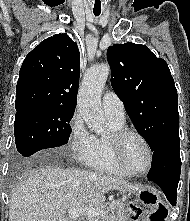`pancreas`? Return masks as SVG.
<instances>
[{
  "label": "pancreas",
  "instance_id": "cf45deb5",
  "mask_svg": "<svg viewBox=\"0 0 190 221\" xmlns=\"http://www.w3.org/2000/svg\"><path fill=\"white\" fill-rule=\"evenodd\" d=\"M105 214L91 218L90 221H121L125 219V204L122 201L108 202L99 207Z\"/></svg>",
  "mask_w": 190,
  "mask_h": 221
}]
</instances>
